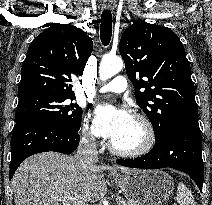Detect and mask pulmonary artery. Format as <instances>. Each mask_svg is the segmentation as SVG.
<instances>
[{"label": "pulmonary artery", "mask_w": 212, "mask_h": 205, "mask_svg": "<svg viewBox=\"0 0 212 205\" xmlns=\"http://www.w3.org/2000/svg\"><path fill=\"white\" fill-rule=\"evenodd\" d=\"M127 88V80L123 76H117L113 80H111L109 83L105 84L99 89L100 93H122Z\"/></svg>", "instance_id": "e3ab8cb5"}]
</instances>
